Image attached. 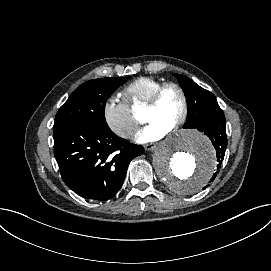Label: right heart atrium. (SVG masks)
I'll use <instances>...</instances> for the list:
<instances>
[{"instance_id":"right-heart-atrium-1","label":"right heart atrium","mask_w":271,"mask_h":271,"mask_svg":"<svg viewBox=\"0 0 271 271\" xmlns=\"http://www.w3.org/2000/svg\"><path fill=\"white\" fill-rule=\"evenodd\" d=\"M102 116L109 129L122 139H130L137 128V121L120 94H112L104 100Z\"/></svg>"}]
</instances>
